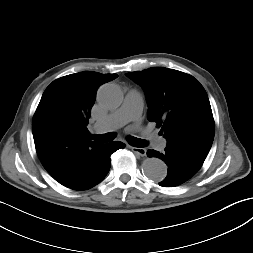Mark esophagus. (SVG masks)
<instances>
[{
    "label": "esophagus",
    "mask_w": 253,
    "mask_h": 253,
    "mask_svg": "<svg viewBox=\"0 0 253 253\" xmlns=\"http://www.w3.org/2000/svg\"><path fill=\"white\" fill-rule=\"evenodd\" d=\"M131 150L142 157L146 156L145 148L131 147Z\"/></svg>",
    "instance_id": "1"
}]
</instances>
